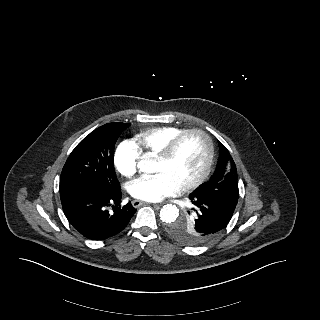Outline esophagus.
I'll use <instances>...</instances> for the list:
<instances>
[{
  "mask_svg": "<svg viewBox=\"0 0 320 320\" xmlns=\"http://www.w3.org/2000/svg\"><path fill=\"white\" fill-rule=\"evenodd\" d=\"M143 204H145V202L139 201V200H134V201L132 202V205H133V207H135V208H137V207H139V206H141V205H143Z\"/></svg>",
  "mask_w": 320,
  "mask_h": 320,
  "instance_id": "obj_1",
  "label": "esophagus"
}]
</instances>
